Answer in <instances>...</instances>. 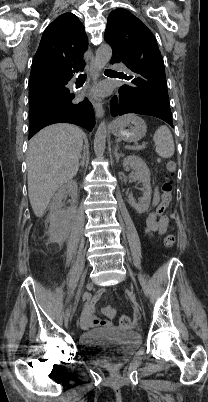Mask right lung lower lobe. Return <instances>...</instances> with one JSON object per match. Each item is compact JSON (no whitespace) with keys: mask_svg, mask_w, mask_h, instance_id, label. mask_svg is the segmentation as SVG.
<instances>
[{"mask_svg":"<svg viewBox=\"0 0 208 402\" xmlns=\"http://www.w3.org/2000/svg\"><path fill=\"white\" fill-rule=\"evenodd\" d=\"M85 65V62H84ZM84 65L81 70L84 69ZM69 80L52 78H41L29 80V90H38L43 86H65ZM75 95L70 94L69 99L63 102L61 105L49 109L45 113H42L29 127L30 139L42 128L54 124V123H72L84 127L91 131L95 125V117L92 104L87 98L79 103L73 102Z\"/></svg>","mask_w":208,"mask_h":402,"instance_id":"98d812e1","label":"right lung lower lobe"}]
</instances>
